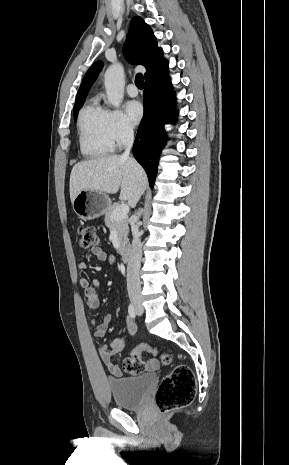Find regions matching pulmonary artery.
Listing matches in <instances>:
<instances>
[{"mask_svg":"<svg viewBox=\"0 0 289 465\" xmlns=\"http://www.w3.org/2000/svg\"><path fill=\"white\" fill-rule=\"evenodd\" d=\"M127 93L131 97H136L138 95V89L134 84H129L127 86Z\"/></svg>","mask_w":289,"mask_h":465,"instance_id":"1","label":"pulmonary artery"}]
</instances>
